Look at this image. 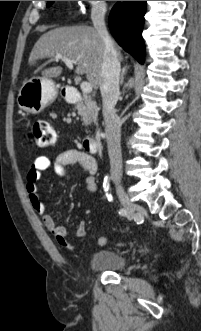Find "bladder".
<instances>
[{
  "instance_id": "31cf9c89",
  "label": "bladder",
  "mask_w": 201,
  "mask_h": 331,
  "mask_svg": "<svg viewBox=\"0 0 201 331\" xmlns=\"http://www.w3.org/2000/svg\"><path fill=\"white\" fill-rule=\"evenodd\" d=\"M127 264V256L119 251L98 250L88 260V267L92 270L122 271Z\"/></svg>"
}]
</instances>
